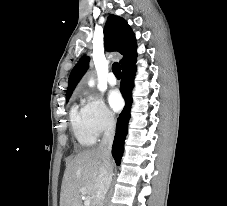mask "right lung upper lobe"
I'll return each mask as SVG.
<instances>
[{"label": "right lung upper lobe", "mask_w": 227, "mask_h": 206, "mask_svg": "<svg viewBox=\"0 0 227 206\" xmlns=\"http://www.w3.org/2000/svg\"><path fill=\"white\" fill-rule=\"evenodd\" d=\"M104 44L107 51H117L123 58L122 68L136 61V39L127 22L121 17L110 15L104 28ZM90 58L82 56L71 71L66 97H70L77 83L86 72Z\"/></svg>", "instance_id": "cb5924a9"}]
</instances>
